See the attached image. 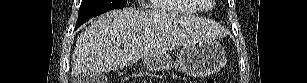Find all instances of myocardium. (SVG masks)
<instances>
[{
    "instance_id": "1",
    "label": "myocardium",
    "mask_w": 307,
    "mask_h": 83,
    "mask_svg": "<svg viewBox=\"0 0 307 83\" xmlns=\"http://www.w3.org/2000/svg\"><path fill=\"white\" fill-rule=\"evenodd\" d=\"M208 1L211 2L213 0H208ZM192 2L197 3L196 7L198 8V10L208 12L211 9V7H203L202 5L203 0H192Z\"/></svg>"
}]
</instances>
